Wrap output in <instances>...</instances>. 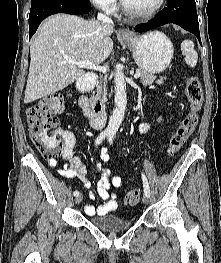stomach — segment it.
<instances>
[{"instance_id": "obj_1", "label": "stomach", "mask_w": 221, "mask_h": 263, "mask_svg": "<svg viewBox=\"0 0 221 263\" xmlns=\"http://www.w3.org/2000/svg\"><path fill=\"white\" fill-rule=\"evenodd\" d=\"M121 41L129 47L138 67L150 74L163 72L173 58L172 42L159 31L149 32L142 36L133 35Z\"/></svg>"}]
</instances>
